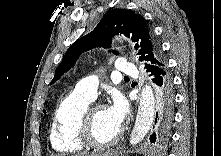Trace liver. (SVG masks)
I'll return each instance as SVG.
<instances>
[{"instance_id": "obj_1", "label": "liver", "mask_w": 221, "mask_h": 156, "mask_svg": "<svg viewBox=\"0 0 221 156\" xmlns=\"http://www.w3.org/2000/svg\"><path fill=\"white\" fill-rule=\"evenodd\" d=\"M99 154H96V153H91V154H84V153H81V154H78L76 156H97Z\"/></svg>"}]
</instances>
